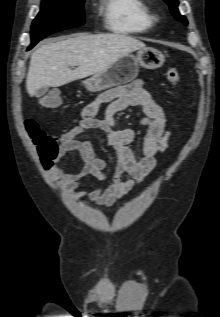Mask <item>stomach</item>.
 Segmentation results:
<instances>
[{
    "instance_id": "obj_1",
    "label": "stomach",
    "mask_w": 220,
    "mask_h": 317,
    "mask_svg": "<svg viewBox=\"0 0 220 317\" xmlns=\"http://www.w3.org/2000/svg\"><path fill=\"white\" fill-rule=\"evenodd\" d=\"M165 62V56L154 48H143L136 55L127 54L118 59L107 70L98 72L82 82L90 92L102 91L134 80L139 67L157 69Z\"/></svg>"
}]
</instances>
